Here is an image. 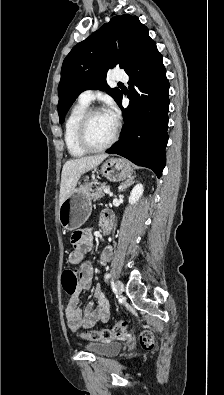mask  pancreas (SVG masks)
Listing matches in <instances>:
<instances>
[{"label": "pancreas", "instance_id": "pancreas-1", "mask_svg": "<svg viewBox=\"0 0 224 395\" xmlns=\"http://www.w3.org/2000/svg\"><path fill=\"white\" fill-rule=\"evenodd\" d=\"M109 188H110L109 186H106V185H104V184H102V185L96 187L95 191L91 194V199H92L93 201H96V200H98V199L104 197V196H105L104 190H105V189H109Z\"/></svg>", "mask_w": 224, "mask_h": 395}]
</instances>
